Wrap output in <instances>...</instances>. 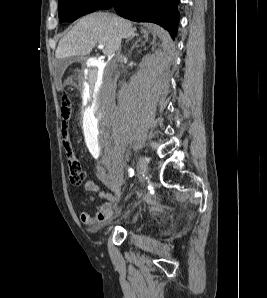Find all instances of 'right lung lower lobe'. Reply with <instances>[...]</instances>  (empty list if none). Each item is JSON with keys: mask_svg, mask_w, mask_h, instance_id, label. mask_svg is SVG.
Instances as JSON below:
<instances>
[{"mask_svg": "<svg viewBox=\"0 0 267 298\" xmlns=\"http://www.w3.org/2000/svg\"><path fill=\"white\" fill-rule=\"evenodd\" d=\"M178 2L179 0H105L98 9H109L113 6L124 18L162 26L174 39L179 22Z\"/></svg>", "mask_w": 267, "mask_h": 298, "instance_id": "98d812e1", "label": "right lung lower lobe"}]
</instances>
